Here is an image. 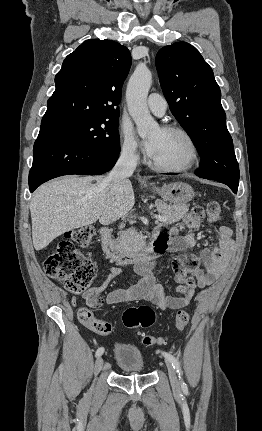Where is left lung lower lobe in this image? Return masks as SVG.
Instances as JSON below:
<instances>
[{
	"instance_id": "0a47b994",
	"label": "left lung lower lobe",
	"mask_w": 262,
	"mask_h": 431,
	"mask_svg": "<svg viewBox=\"0 0 262 431\" xmlns=\"http://www.w3.org/2000/svg\"><path fill=\"white\" fill-rule=\"evenodd\" d=\"M198 175V174H197ZM199 176V175H198ZM200 177V176H199ZM203 178V177H202ZM234 193H237L238 186L237 185H228Z\"/></svg>"
}]
</instances>
